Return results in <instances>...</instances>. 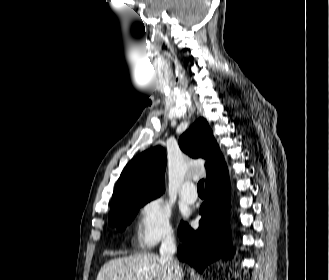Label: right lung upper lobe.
Masks as SVG:
<instances>
[{"label": "right lung upper lobe", "instance_id": "cb5924a9", "mask_svg": "<svg viewBox=\"0 0 329 280\" xmlns=\"http://www.w3.org/2000/svg\"><path fill=\"white\" fill-rule=\"evenodd\" d=\"M179 146L192 158L206 159V183L226 169V164L207 121L199 118L181 136ZM166 153L160 146L142 152L124 168L112 196L111 210L135 199L160 196L164 191Z\"/></svg>", "mask_w": 329, "mask_h": 280}]
</instances>
